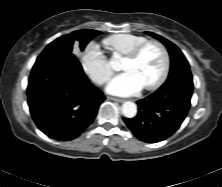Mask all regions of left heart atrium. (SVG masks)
Masks as SVG:
<instances>
[{"label":"left heart atrium","mask_w":222,"mask_h":187,"mask_svg":"<svg viewBox=\"0 0 222 187\" xmlns=\"http://www.w3.org/2000/svg\"><path fill=\"white\" fill-rule=\"evenodd\" d=\"M143 88L142 83L130 71L117 75L108 85L107 91L120 96H130L138 93Z\"/></svg>","instance_id":"39dd6f15"}]
</instances>
